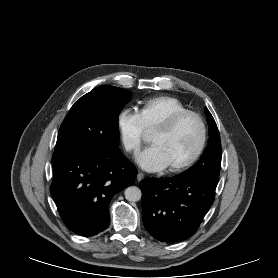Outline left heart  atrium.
<instances>
[{"label": "left heart atrium", "instance_id": "39dd6f15", "mask_svg": "<svg viewBox=\"0 0 278 278\" xmlns=\"http://www.w3.org/2000/svg\"><path fill=\"white\" fill-rule=\"evenodd\" d=\"M137 163L146 171L156 172L168 167L165 156L159 146L152 144L136 156Z\"/></svg>", "mask_w": 278, "mask_h": 278}]
</instances>
